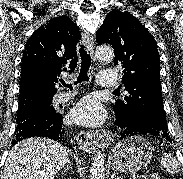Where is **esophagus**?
I'll list each match as a JSON object with an SVG mask.
<instances>
[{
    "label": "esophagus",
    "instance_id": "esophagus-1",
    "mask_svg": "<svg viewBox=\"0 0 183 179\" xmlns=\"http://www.w3.org/2000/svg\"><path fill=\"white\" fill-rule=\"evenodd\" d=\"M82 42L87 48L92 60L96 62L94 40L90 33H82ZM113 141L112 133L106 130L81 131L77 136L78 144L87 151H96L101 147L108 146Z\"/></svg>",
    "mask_w": 183,
    "mask_h": 179
}]
</instances>
